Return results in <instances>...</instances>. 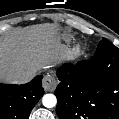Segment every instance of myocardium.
I'll return each instance as SVG.
<instances>
[{
    "label": "myocardium",
    "mask_w": 119,
    "mask_h": 119,
    "mask_svg": "<svg viewBox=\"0 0 119 119\" xmlns=\"http://www.w3.org/2000/svg\"><path fill=\"white\" fill-rule=\"evenodd\" d=\"M77 50H78V47L75 48V51H77Z\"/></svg>",
    "instance_id": "f54148a6"
}]
</instances>
